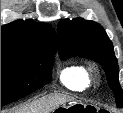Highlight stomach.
<instances>
[{
  "mask_svg": "<svg viewBox=\"0 0 123 113\" xmlns=\"http://www.w3.org/2000/svg\"><path fill=\"white\" fill-rule=\"evenodd\" d=\"M87 109V105L82 101H73L68 105H61L54 109V112L60 113H81Z\"/></svg>",
  "mask_w": 123,
  "mask_h": 113,
  "instance_id": "stomach-1",
  "label": "stomach"
}]
</instances>
